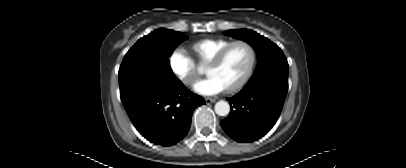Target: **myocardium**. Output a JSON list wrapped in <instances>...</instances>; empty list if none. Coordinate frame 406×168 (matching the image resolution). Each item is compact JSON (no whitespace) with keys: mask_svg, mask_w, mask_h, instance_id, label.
<instances>
[{"mask_svg":"<svg viewBox=\"0 0 406 168\" xmlns=\"http://www.w3.org/2000/svg\"><path fill=\"white\" fill-rule=\"evenodd\" d=\"M238 44L246 45L249 48L251 58H250L248 68H247L246 72L244 73V75L242 76V78L236 84H234L233 86L228 87V88L225 89V91L227 93H233V92H236V91L240 90L248 82V80L250 79V77H251V75L253 73L255 64H256V60H257V51H256L254 45L252 43H250L249 41L242 40V39L232 41L229 44H227L225 47L220 49L206 64V67H216V66H218L222 62V60L225 57V55L227 54V52L233 46L238 45Z\"/></svg>","mask_w":406,"mask_h":168,"instance_id":"obj_1","label":"myocardium"}]
</instances>
